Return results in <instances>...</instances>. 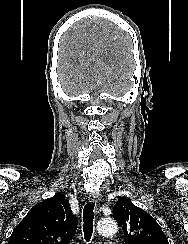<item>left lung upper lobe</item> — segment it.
I'll use <instances>...</instances> for the list:
<instances>
[{
    "instance_id": "1",
    "label": "left lung upper lobe",
    "mask_w": 188,
    "mask_h": 244,
    "mask_svg": "<svg viewBox=\"0 0 188 244\" xmlns=\"http://www.w3.org/2000/svg\"><path fill=\"white\" fill-rule=\"evenodd\" d=\"M113 214L123 229L126 244H169L155 219L135 206L129 198H120Z\"/></svg>"
}]
</instances>
